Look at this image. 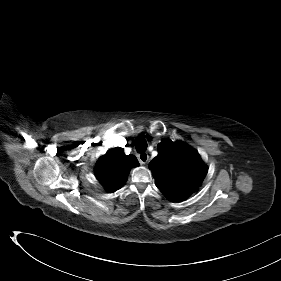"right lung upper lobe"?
I'll use <instances>...</instances> for the list:
<instances>
[{
  "label": "right lung upper lobe",
  "instance_id": "right-lung-upper-lobe-1",
  "mask_svg": "<svg viewBox=\"0 0 281 281\" xmlns=\"http://www.w3.org/2000/svg\"><path fill=\"white\" fill-rule=\"evenodd\" d=\"M138 164L135 156L125 155L122 148H113L98 159L95 175L106 191L114 192L123 186L130 169Z\"/></svg>",
  "mask_w": 281,
  "mask_h": 281
}]
</instances>
